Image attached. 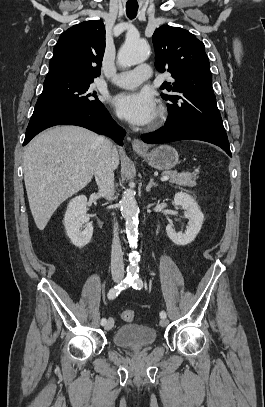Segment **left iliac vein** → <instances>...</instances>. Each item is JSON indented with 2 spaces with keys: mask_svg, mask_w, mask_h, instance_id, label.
<instances>
[{
  "mask_svg": "<svg viewBox=\"0 0 265 407\" xmlns=\"http://www.w3.org/2000/svg\"><path fill=\"white\" fill-rule=\"evenodd\" d=\"M168 325V320L166 319V318H162L161 320H160V326L161 327H165V326H167Z\"/></svg>",
  "mask_w": 265,
  "mask_h": 407,
  "instance_id": "obj_1",
  "label": "left iliac vein"
}]
</instances>
